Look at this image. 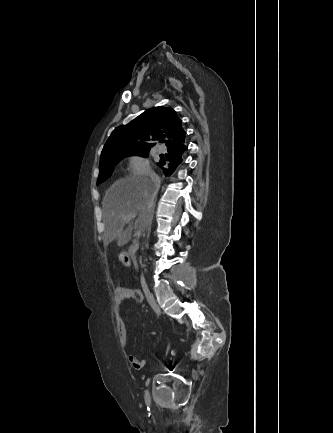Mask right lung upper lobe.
Masks as SVG:
<instances>
[{
	"label": "right lung upper lobe",
	"instance_id": "1",
	"mask_svg": "<svg viewBox=\"0 0 333 433\" xmlns=\"http://www.w3.org/2000/svg\"><path fill=\"white\" fill-rule=\"evenodd\" d=\"M181 122L172 108L158 106L148 109L111 133L100 160L116 153L150 149L155 145L152 143L155 140L167 139L168 150L183 146L186 132Z\"/></svg>",
	"mask_w": 333,
	"mask_h": 433
}]
</instances>
